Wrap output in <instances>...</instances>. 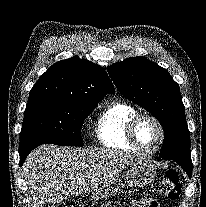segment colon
I'll return each mask as SVG.
<instances>
[{"mask_svg": "<svg viewBox=\"0 0 206 207\" xmlns=\"http://www.w3.org/2000/svg\"><path fill=\"white\" fill-rule=\"evenodd\" d=\"M158 193L170 200H176L179 198L181 193V184L178 173L173 170H167L160 175L157 183ZM149 207H160L157 200H152Z\"/></svg>", "mask_w": 206, "mask_h": 207, "instance_id": "5ec220e1", "label": "colon"}]
</instances>
